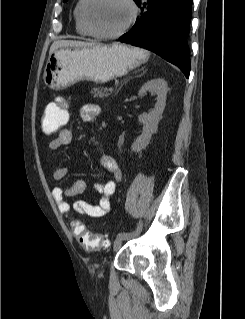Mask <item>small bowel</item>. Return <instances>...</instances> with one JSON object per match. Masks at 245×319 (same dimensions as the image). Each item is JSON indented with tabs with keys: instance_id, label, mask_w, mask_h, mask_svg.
<instances>
[{
	"instance_id": "c3829d8e",
	"label": "small bowel",
	"mask_w": 245,
	"mask_h": 319,
	"mask_svg": "<svg viewBox=\"0 0 245 319\" xmlns=\"http://www.w3.org/2000/svg\"><path fill=\"white\" fill-rule=\"evenodd\" d=\"M56 103H51L47 106L50 107ZM100 107L97 104H85L81 108V118L87 123H93L100 115ZM73 139V132L69 128L61 130L58 135L53 138L49 143L51 151H58L62 147L70 144ZM100 164L102 168L112 173L113 178L97 184L96 189L102 193V197L98 204H91L85 200H76L73 203V210L79 215L90 217H102L110 210V197L116 193L118 184L122 177V172L116 160L108 155L102 154L100 156ZM68 174V168L65 166H58L53 172V178L57 181L63 180ZM85 190V182L81 179L76 180L70 187L56 186L53 189V198L62 215H69L71 206L67 202V197H73L81 194Z\"/></svg>"
}]
</instances>
